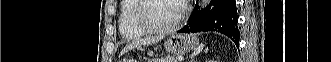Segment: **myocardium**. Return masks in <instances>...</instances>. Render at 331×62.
<instances>
[{
    "label": "myocardium",
    "mask_w": 331,
    "mask_h": 62,
    "mask_svg": "<svg viewBox=\"0 0 331 62\" xmlns=\"http://www.w3.org/2000/svg\"><path fill=\"white\" fill-rule=\"evenodd\" d=\"M150 0H137V6L134 14V21L138 28L144 31L147 34H160V33H167L177 29L181 22L183 21L185 15V2H180V12L176 20L166 26H156L153 25L144 15L148 2Z\"/></svg>",
    "instance_id": "obj_1"
}]
</instances>
